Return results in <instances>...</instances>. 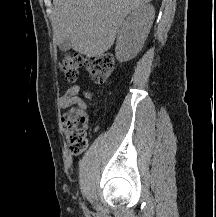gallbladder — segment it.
Instances as JSON below:
<instances>
[{"mask_svg":"<svg viewBox=\"0 0 216 217\" xmlns=\"http://www.w3.org/2000/svg\"><path fill=\"white\" fill-rule=\"evenodd\" d=\"M71 48V41L69 38L65 39L62 43L59 44V49L61 51H67Z\"/></svg>","mask_w":216,"mask_h":217,"instance_id":"1","label":"gallbladder"}]
</instances>
